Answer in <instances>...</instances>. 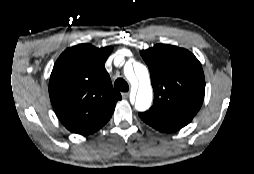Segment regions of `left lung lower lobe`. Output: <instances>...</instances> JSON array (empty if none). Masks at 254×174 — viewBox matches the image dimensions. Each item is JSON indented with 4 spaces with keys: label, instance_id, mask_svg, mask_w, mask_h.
Segmentation results:
<instances>
[{
    "label": "left lung lower lobe",
    "instance_id": "left-lung-lower-lobe-1",
    "mask_svg": "<svg viewBox=\"0 0 254 174\" xmlns=\"http://www.w3.org/2000/svg\"><path fill=\"white\" fill-rule=\"evenodd\" d=\"M139 116L145 123L164 133L175 132L192 121L191 117L172 115L154 108L139 113Z\"/></svg>",
    "mask_w": 254,
    "mask_h": 174
}]
</instances>
